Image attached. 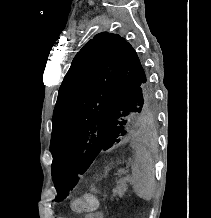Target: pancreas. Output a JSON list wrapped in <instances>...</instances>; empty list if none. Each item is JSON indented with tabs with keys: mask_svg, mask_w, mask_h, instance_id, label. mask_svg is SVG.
<instances>
[{
	"mask_svg": "<svg viewBox=\"0 0 211 218\" xmlns=\"http://www.w3.org/2000/svg\"><path fill=\"white\" fill-rule=\"evenodd\" d=\"M127 180H119L117 182L118 186L113 190V196H119V198H122L124 196L126 190H127Z\"/></svg>",
	"mask_w": 211,
	"mask_h": 218,
	"instance_id": "pancreas-1",
	"label": "pancreas"
}]
</instances>
